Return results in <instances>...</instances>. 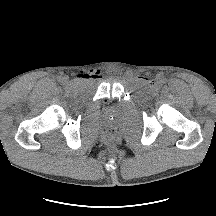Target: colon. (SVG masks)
Segmentation results:
<instances>
[{
    "mask_svg": "<svg viewBox=\"0 0 216 216\" xmlns=\"http://www.w3.org/2000/svg\"><path fill=\"white\" fill-rule=\"evenodd\" d=\"M108 137H109V139L114 140V139H115V132L111 130V131L108 133Z\"/></svg>",
    "mask_w": 216,
    "mask_h": 216,
    "instance_id": "obj_1",
    "label": "colon"
}]
</instances>
